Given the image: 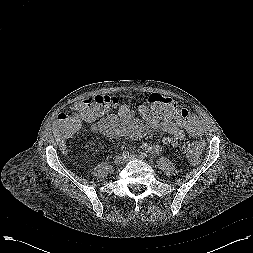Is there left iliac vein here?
I'll return each instance as SVG.
<instances>
[{"mask_svg": "<svg viewBox=\"0 0 253 253\" xmlns=\"http://www.w3.org/2000/svg\"><path fill=\"white\" fill-rule=\"evenodd\" d=\"M135 159H143V158H141V157H139L137 155L132 154L127 159H125V161H130V160H135Z\"/></svg>", "mask_w": 253, "mask_h": 253, "instance_id": "4c4485c4", "label": "left iliac vein"}]
</instances>
